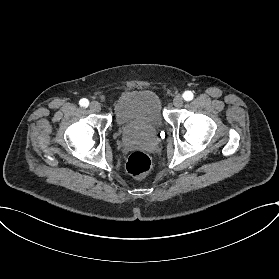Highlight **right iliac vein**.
Returning <instances> with one entry per match:
<instances>
[{
	"mask_svg": "<svg viewBox=\"0 0 279 279\" xmlns=\"http://www.w3.org/2000/svg\"><path fill=\"white\" fill-rule=\"evenodd\" d=\"M89 109L93 112H99L101 110V105L98 102L93 101L90 103Z\"/></svg>",
	"mask_w": 279,
	"mask_h": 279,
	"instance_id": "63e3f726",
	"label": "right iliac vein"
}]
</instances>
